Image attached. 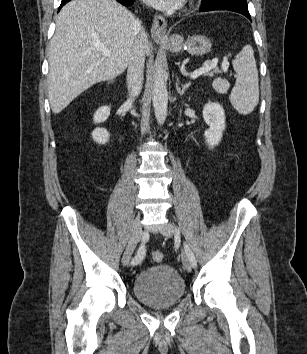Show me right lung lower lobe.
I'll return each mask as SVG.
<instances>
[{
  "mask_svg": "<svg viewBox=\"0 0 307 354\" xmlns=\"http://www.w3.org/2000/svg\"><path fill=\"white\" fill-rule=\"evenodd\" d=\"M70 0H62L61 5H60V9L63 5H65L67 2H69ZM118 2H120L121 4L127 6V5H131L133 4L134 0H117Z\"/></svg>",
  "mask_w": 307,
  "mask_h": 354,
  "instance_id": "obj_1",
  "label": "right lung lower lobe"
}]
</instances>
